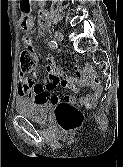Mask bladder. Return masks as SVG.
<instances>
[{
    "label": "bladder",
    "instance_id": "1",
    "mask_svg": "<svg viewBox=\"0 0 123 167\" xmlns=\"http://www.w3.org/2000/svg\"><path fill=\"white\" fill-rule=\"evenodd\" d=\"M52 104L47 101H33L30 99H18L15 103L16 112L36 123H46L49 119V114Z\"/></svg>",
    "mask_w": 123,
    "mask_h": 167
}]
</instances>
